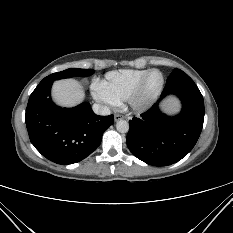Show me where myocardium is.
Segmentation results:
<instances>
[{"label": "myocardium", "instance_id": "myocardium-1", "mask_svg": "<svg viewBox=\"0 0 233 233\" xmlns=\"http://www.w3.org/2000/svg\"><path fill=\"white\" fill-rule=\"evenodd\" d=\"M157 72L161 76V83L158 87V89L151 95L149 96H144V90H145V84L148 79V77L154 73ZM165 85V79L164 75L161 71L157 69H150L148 70L139 80L135 88L132 90L130 95L127 98V103L128 106L130 107L131 110L137 113H142L150 109L155 102L158 100L159 96L162 93V90Z\"/></svg>", "mask_w": 233, "mask_h": 233}]
</instances>
